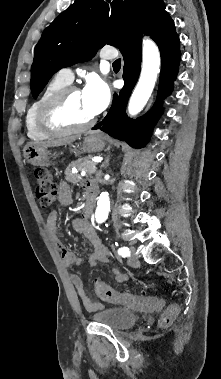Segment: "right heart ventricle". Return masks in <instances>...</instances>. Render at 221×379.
<instances>
[{
  "instance_id": "1",
  "label": "right heart ventricle",
  "mask_w": 221,
  "mask_h": 379,
  "mask_svg": "<svg viewBox=\"0 0 221 379\" xmlns=\"http://www.w3.org/2000/svg\"><path fill=\"white\" fill-rule=\"evenodd\" d=\"M67 82L59 77H54L44 88L38 98L30 105L26 113V131L27 135L32 140H45L51 135L41 129L38 123V113L44 102L58 90L66 87Z\"/></svg>"
}]
</instances>
